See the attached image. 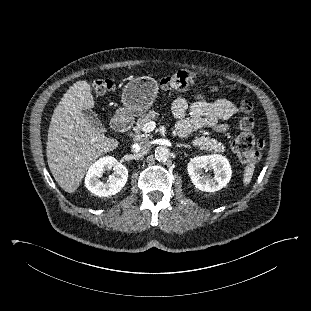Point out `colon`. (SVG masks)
I'll use <instances>...</instances> for the list:
<instances>
[{"mask_svg": "<svg viewBox=\"0 0 311 311\" xmlns=\"http://www.w3.org/2000/svg\"><path fill=\"white\" fill-rule=\"evenodd\" d=\"M194 82V73L178 71L163 77L160 80V87L166 91H183L192 86ZM91 85L94 93L97 95H104L114 87L113 82L108 79L94 80ZM252 109L253 105L249 100L242 99L240 101L239 110L241 116L236 124L238 135L232 142L233 151L244 163L258 162L265 148L264 140L257 138L253 133L255 121L251 116Z\"/></svg>", "mask_w": 311, "mask_h": 311, "instance_id": "colon-1", "label": "colon"}]
</instances>
